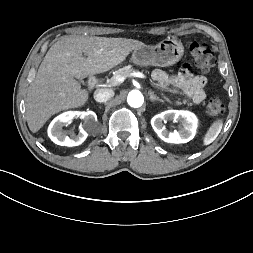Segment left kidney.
Here are the masks:
<instances>
[{"label":"left kidney","instance_id":"left-kidney-1","mask_svg":"<svg viewBox=\"0 0 253 253\" xmlns=\"http://www.w3.org/2000/svg\"><path fill=\"white\" fill-rule=\"evenodd\" d=\"M167 121H180L178 131H167L163 122ZM151 125L160 139L167 143H187L193 139L197 129V118L189 112L183 110H167L160 114L155 115L151 119Z\"/></svg>","mask_w":253,"mask_h":253}]
</instances>
